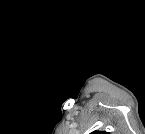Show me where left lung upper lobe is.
<instances>
[{
  "mask_svg": "<svg viewBox=\"0 0 145 134\" xmlns=\"http://www.w3.org/2000/svg\"><path fill=\"white\" fill-rule=\"evenodd\" d=\"M91 134H106V132H92Z\"/></svg>",
  "mask_w": 145,
  "mask_h": 134,
  "instance_id": "left-lung-upper-lobe-1",
  "label": "left lung upper lobe"
}]
</instances>
